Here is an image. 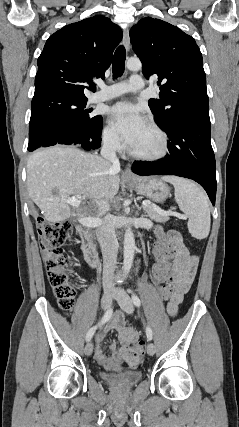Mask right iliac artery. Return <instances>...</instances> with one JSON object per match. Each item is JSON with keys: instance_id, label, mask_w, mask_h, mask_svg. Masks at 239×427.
I'll use <instances>...</instances> for the list:
<instances>
[{"instance_id": "1", "label": "right iliac artery", "mask_w": 239, "mask_h": 427, "mask_svg": "<svg viewBox=\"0 0 239 427\" xmlns=\"http://www.w3.org/2000/svg\"><path fill=\"white\" fill-rule=\"evenodd\" d=\"M112 313H113L112 308L108 309V310L105 312V314H104V316H103L102 320H101V321H100L96 326L92 327V328L87 332V335H86V341H90V340H91V338L93 337V335H94V333H95V331H96L97 327L102 326L104 323H106V322L111 318Z\"/></svg>"}]
</instances>
